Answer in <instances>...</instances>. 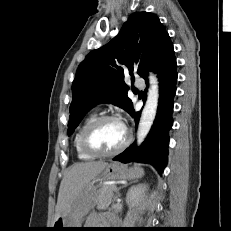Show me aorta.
Segmentation results:
<instances>
[{
    "instance_id": "762f6f07",
    "label": "aorta",
    "mask_w": 231,
    "mask_h": 231,
    "mask_svg": "<svg viewBox=\"0 0 231 231\" xmlns=\"http://www.w3.org/2000/svg\"><path fill=\"white\" fill-rule=\"evenodd\" d=\"M150 87L148 89L147 100L142 111L138 131L137 143L140 145L147 137L153 122L156 117L158 100H159V85L158 79L152 73L149 74Z\"/></svg>"
}]
</instances>
